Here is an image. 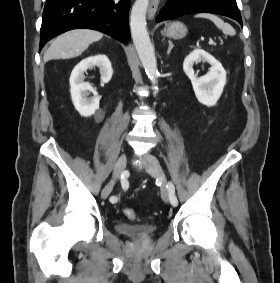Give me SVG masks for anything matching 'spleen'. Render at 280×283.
Listing matches in <instances>:
<instances>
[{"label":"spleen","instance_id":"3e777b00","mask_svg":"<svg viewBox=\"0 0 280 283\" xmlns=\"http://www.w3.org/2000/svg\"><path fill=\"white\" fill-rule=\"evenodd\" d=\"M195 17L206 18L211 20L216 25V27H218L226 35L234 36L236 34L235 29L229 23H225L221 18L216 15L209 13H200Z\"/></svg>","mask_w":280,"mask_h":283}]
</instances>
